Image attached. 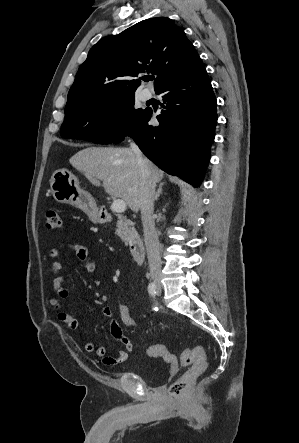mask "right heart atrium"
Listing matches in <instances>:
<instances>
[{
	"label": "right heart atrium",
	"mask_w": 299,
	"mask_h": 443,
	"mask_svg": "<svg viewBox=\"0 0 299 443\" xmlns=\"http://www.w3.org/2000/svg\"><path fill=\"white\" fill-rule=\"evenodd\" d=\"M102 126L106 133L115 132L121 122L120 110L116 107H109L104 110L101 116Z\"/></svg>",
	"instance_id": "d8ad5b80"
}]
</instances>
